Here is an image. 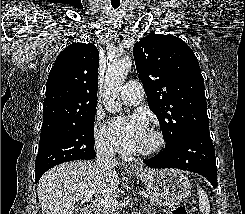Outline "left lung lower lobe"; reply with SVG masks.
I'll return each instance as SVG.
<instances>
[{"mask_svg": "<svg viewBox=\"0 0 245 214\" xmlns=\"http://www.w3.org/2000/svg\"><path fill=\"white\" fill-rule=\"evenodd\" d=\"M154 168H177L204 176L214 188L217 187L215 150L209 129H197L170 148L144 160Z\"/></svg>", "mask_w": 245, "mask_h": 214, "instance_id": "obj_1", "label": "left lung lower lobe"}]
</instances>
